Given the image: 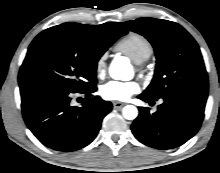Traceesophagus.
I'll return each instance as SVG.
<instances>
[{
    "instance_id": "34e87169",
    "label": "esophagus",
    "mask_w": 220,
    "mask_h": 173,
    "mask_svg": "<svg viewBox=\"0 0 220 173\" xmlns=\"http://www.w3.org/2000/svg\"><path fill=\"white\" fill-rule=\"evenodd\" d=\"M124 105H125L124 103L119 102V101H114V102H113V107H114L115 109H120V108H122Z\"/></svg>"
}]
</instances>
